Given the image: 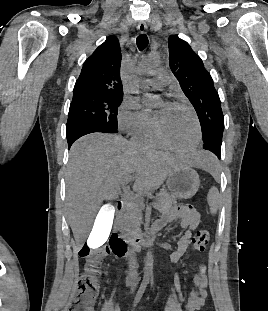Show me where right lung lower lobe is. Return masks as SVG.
<instances>
[{"instance_id":"98d812e1","label":"right lung lower lobe","mask_w":268,"mask_h":311,"mask_svg":"<svg viewBox=\"0 0 268 311\" xmlns=\"http://www.w3.org/2000/svg\"><path fill=\"white\" fill-rule=\"evenodd\" d=\"M94 132L109 133L95 125L90 124L78 125L74 129L66 131L68 147L70 148L71 145L74 143V141H76L78 138Z\"/></svg>"}]
</instances>
